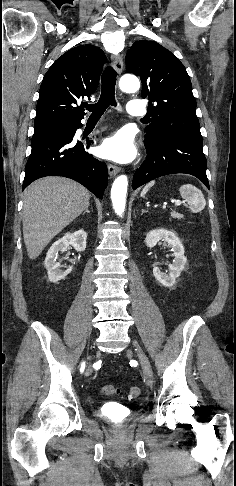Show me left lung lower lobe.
Returning a JSON list of instances; mask_svg holds the SVG:
<instances>
[{"instance_id": "1", "label": "left lung lower lobe", "mask_w": 236, "mask_h": 486, "mask_svg": "<svg viewBox=\"0 0 236 486\" xmlns=\"http://www.w3.org/2000/svg\"><path fill=\"white\" fill-rule=\"evenodd\" d=\"M144 143L147 157L134 174L133 189L160 176L174 173L191 174L209 188L202 139L171 134Z\"/></svg>"}]
</instances>
